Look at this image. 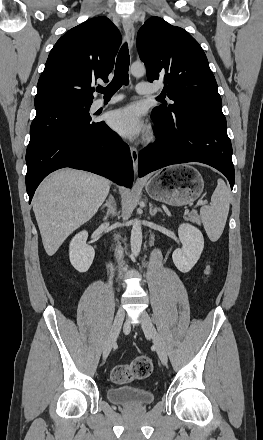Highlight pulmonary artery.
<instances>
[{"label": "pulmonary artery", "mask_w": 263, "mask_h": 440, "mask_svg": "<svg viewBox=\"0 0 263 440\" xmlns=\"http://www.w3.org/2000/svg\"><path fill=\"white\" fill-rule=\"evenodd\" d=\"M136 91L139 95H147L152 94L157 91L156 87L149 86L147 83H138L136 86ZM123 97L121 95H115L109 100L104 99H97L92 104V109L97 110L100 109L106 105H110L113 103H116L117 101H120Z\"/></svg>", "instance_id": "obj_1"}]
</instances>
